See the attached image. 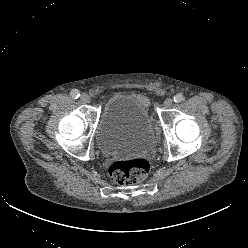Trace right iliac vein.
Listing matches in <instances>:
<instances>
[{
    "mask_svg": "<svg viewBox=\"0 0 248 248\" xmlns=\"http://www.w3.org/2000/svg\"><path fill=\"white\" fill-rule=\"evenodd\" d=\"M81 101L84 103H90L91 98L87 93H83L80 97Z\"/></svg>",
    "mask_w": 248,
    "mask_h": 248,
    "instance_id": "1",
    "label": "right iliac vein"
}]
</instances>
